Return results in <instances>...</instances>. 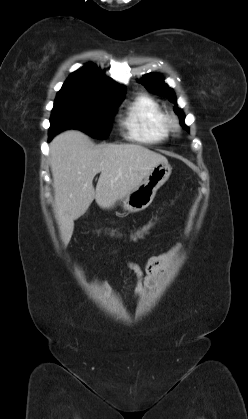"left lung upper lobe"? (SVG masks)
<instances>
[{"label": "left lung upper lobe", "instance_id": "left-lung-upper-lobe-1", "mask_svg": "<svg viewBox=\"0 0 248 419\" xmlns=\"http://www.w3.org/2000/svg\"><path fill=\"white\" fill-rule=\"evenodd\" d=\"M141 83L150 91H153L155 93L162 94L163 96L168 97L176 105L174 107V110L176 114L179 116L181 124L184 126V128L187 131H189L188 127L185 126L184 124L185 116L182 110L177 107L175 93L170 87H168L164 83L163 77L160 74H155V75L148 74L142 78Z\"/></svg>", "mask_w": 248, "mask_h": 419}]
</instances>
